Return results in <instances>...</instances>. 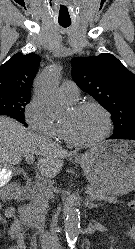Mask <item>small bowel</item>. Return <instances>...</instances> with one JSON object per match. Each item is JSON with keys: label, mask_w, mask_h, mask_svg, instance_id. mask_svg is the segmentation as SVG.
<instances>
[{"label": "small bowel", "mask_w": 135, "mask_h": 249, "mask_svg": "<svg viewBox=\"0 0 135 249\" xmlns=\"http://www.w3.org/2000/svg\"><path fill=\"white\" fill-rule=\"evenodd\" d=\"M0 226L4 227L6 233L16 240L15 244L7 249H27V240L14 206L3 208L0 204Z\"/></svg>", "instance_id": "c3829d8e"}]
</instances>
